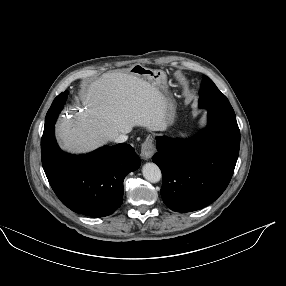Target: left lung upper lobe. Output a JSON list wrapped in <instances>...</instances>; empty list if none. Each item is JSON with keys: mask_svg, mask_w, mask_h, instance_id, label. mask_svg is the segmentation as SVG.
Instances as JSON below:
<instances>
[{"mask_svg": "<svg viewBox=\"0 0 286 286\" xmlns=\"http://www.w3.org/2000/svg\"><path fill=\"white\" fill-rule=\"evenodd\" d=\"M199 106L235 116L234 110L227 97L221 93L213 81L205 75L201 83Z\"/></svg>", "mask_w": 286, "mask_h": 286, "instance_id": "obj_1", "label": "left lung upper lobe"}]
</instances>
